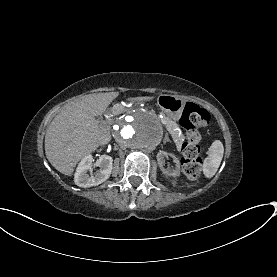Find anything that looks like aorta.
<instances>
[{
	"instance_id": "762f6f07",
	"label": "aorta",
	"mask_w": 277,
	"mask_h": 277,
	"mask_svg": "<svg viewBox=\"0 0 277 277\" xmlns=\"http://www.w3.org/2000/svg\"><path fill=\"white\" fill-rule=\"evenodd\" d=\"M117 144L125 149L152 151L163 137L159 119L146 110H134L120 117L114 127Z\"/></svg>"
}]
</instances>
